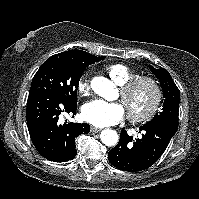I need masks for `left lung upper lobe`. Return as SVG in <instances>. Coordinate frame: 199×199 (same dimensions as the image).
<instances>
[{
    "mask_svg": "<svg viewBox=\"0 0 199 199\" xmlns=\"http://www.w3.org/2000/svg\"><path fill=\"white\" fill-rule=\"evenodd\" d=\"M150 69L160 81L165 100L162 112L157 113L148 123H163L178 128L179 89L167 70L163 68L155 69L152 66H150Z\"/></svg>",
    "mask_w": 199,
    "mask_h": 199,
    "instance_id": "1",
    "label": "left lung upper lobe"
}]
</instances>
